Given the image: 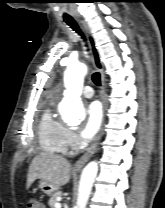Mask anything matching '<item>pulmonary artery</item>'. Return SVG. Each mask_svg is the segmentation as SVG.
Here are the masks:
<instances>
[{
  "instance_id": "obj_1",
  "label": "pulmonary artery",
  "mask_w": 165,
  "mask_h": 208,
  "mask_svg": "<svg viewBox=\"0 0 165 208\" xmlns=\"http://www.w3.org/2000/svg\"><path fill=\"white\" fill-rule=\"evenodd\" d=\"M82 96L85 98H92L94 96V90L91 86H85L81 92Z\"/></svg>"
}]
</instances>
